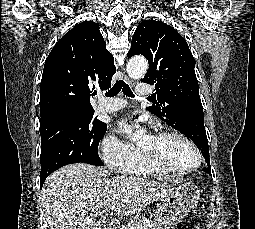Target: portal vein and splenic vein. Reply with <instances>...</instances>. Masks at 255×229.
Returning a JSON list of instances; mask_svg holds the SVG:
<instances>
[{"label": "portal vein and splenic vein", "instance_id": "obj_1", "mask_svg": "<svg viewBox=\"0 0 255 229\" xmlns=\"http://www.w3.org/2000/svg\"><path fill=\"white\" fill-rule=\"evenodd\" d=\"M120 196L116 195L114 196V199H119ZM130 227V229H150L151 225L150 224H146L144 226H134L133 224H129L127 225Z\"/></svg>", "mask_w": 255, "mask_h": 229}]
</instances>
